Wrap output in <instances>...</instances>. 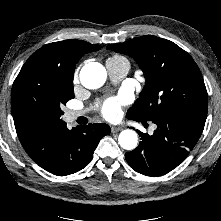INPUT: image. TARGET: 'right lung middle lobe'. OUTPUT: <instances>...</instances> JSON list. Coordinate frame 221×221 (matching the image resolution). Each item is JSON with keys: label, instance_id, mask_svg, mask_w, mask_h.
I'll return each instance as SVG.
<instances>
[{"label": "right lung middle lobe", "instance_id": "obj_1", "mask_svg": "<svg viewBox=\"0 0 221 221\" xmlns=\"http://www.w3.org/2000/svg\"><path fill=\"white\" fill-rule=\"evenodd\" d=\"M74 69L37 59L26 61L11 92L16 129L57 126L64 122L61 107L74 98Z\"/></svg>", "mask_w": 221, "mask_h": 221}]
</instances>
